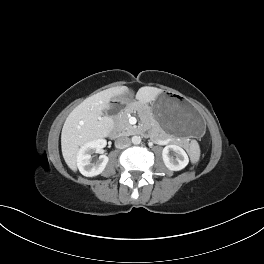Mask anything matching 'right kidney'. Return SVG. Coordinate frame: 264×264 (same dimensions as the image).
<instances>
[{
    "instance_id": "ca27d5eb",
    "label": "right kidney",
    "mask_w": 264,
    "mask_h": 264,
    "mask_svg": "<svg viewBox=\"0 0 264 264\" xmlns=\"http://www.w3.org/2000/svg\"><path fill=\"white\" fill-rule=\"evenodd\" d=\"M106 146L104 139H97L85 143L77 153V167L80 173L86 177H93L101 174L109 158L106 155H100L96 163H92L91 154L100 151Z\"/></svg>"
}]
</instances>
